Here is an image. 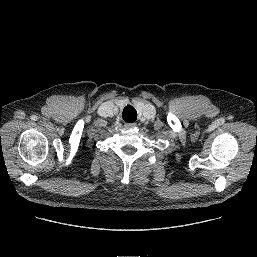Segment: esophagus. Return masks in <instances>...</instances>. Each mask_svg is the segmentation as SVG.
I'll return each instance as SVG.
<instances>
[{"instance_id": "1", "label": "esophagus", "mask_w": 257, "mask_h": 257, "mask_svg": "<svg viewBox=\"0 0 257 257\" xmlns=\"http://www.w3.org/2000/svg\"><path fill=\"white\" fill-rule=\"evenodd\" d=\"M134 127H136V123H126L125 124V128L126 129H132Z\"/></svg>"}]
</instances>
